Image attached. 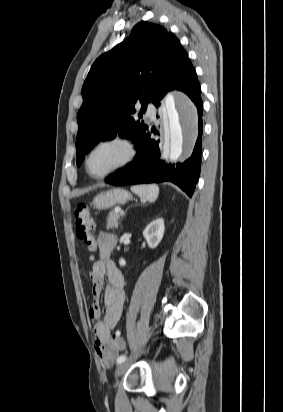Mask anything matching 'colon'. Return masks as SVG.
<instances>
[{"mask_svg":"<svg viewBox=\"0 0 283 412\" xmlns=\"http://www.w3.org/2000/svg\"><path fill=\"white\" fill-rule=\"evenodd\" d=\"M73 216L77 237L83 240L88 247L94 248L96 246V240L93 233L94 221L90 207L87 204L77 205ZM124 348L125 345L122 337L116 335L106 346H104L103 352L105 354H110L112 352L121 351Z\"/></svg>","mask_w":283,"mask_h":412,"instance_id":"5ec220e1","label":"colon"}]
</instances>
